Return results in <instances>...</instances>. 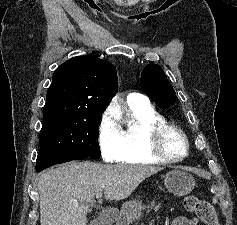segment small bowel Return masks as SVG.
I'll use <instances>...</instances> for the list:
<instances>
[{
  "instance_id": "1",
  "label": "small bowel",
  "mask_w": 237,
  "mask_h": 225,
  "mask_svg": "<svg viewBox=\"0 0 237 225\" xmlns=\"http://www.w3.org/2000/svg\"><path fill=\"white\" fill-rule=\"evenodd\" d=\"M171 225H197V222L185 216L176 217Z\"/></svg>"
}]
</instances>
